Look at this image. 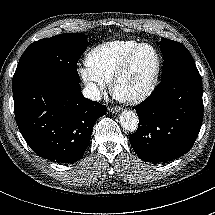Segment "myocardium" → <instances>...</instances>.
I'll list each match as a JSON object with an SVG mask.
<instances>
[{
    "instance_id": "f54148a6",
    "label": "myocardium",
    "mask_w": 215,
    "mask_h": 215,
    "mask_svg": "<svg viewBox=\"0 0 215 215\" xmlns=\"http://www.w3.org/2000/svg\"><path fill=\"white\" fill-rule=\"evenodd\" d=\"M144 46H149L154 50L155 56H156L155 67H154L153 71L150 73V75L148 76L146 83L144 84V86L138 93H136L135 95H133L131 97L121 96L117 92L118 84H119L120 80L124 77V75L127 73L128 69L130 67V64H131L135 54L137 53V51ZM160 71H161V55H160L158 49L153 44L148 43V42L138 43L137 45H135L132 49H130L128 51V53L125 55V57L121 61L120 65L116 69L114 75L112 76L111 81H110L111 94L117 101H119L121 103H124L127 105H138V104L142 103L143 101H145L152 93V91L156 85V82L159 78Z\"/></svg>"
}]
</instances>
